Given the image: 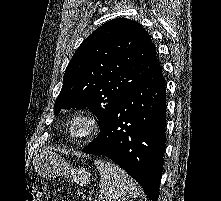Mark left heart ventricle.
<instances>
[{"mask_svg":"<svg viewBox=\"0 0 221 201\" xmlns=\"http://www.w3.org/2000/svg\"><path fill=\"white\" fill-rule=\"evenodd\" d=\"M84 129H85V126L82 123H78L74 126V132L76 134H82Z\"/></svg>","mask_w":221,"mask_h":201,"instance_id":"1","label":"left heart ventricle"}]
</instances>
